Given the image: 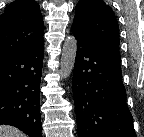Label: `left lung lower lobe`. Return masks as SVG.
<instances>
[{"label": "left lung lower lobe", "instance_id": "0a47b994", "mask_svg": "<svg viewBox=\"0 0 144 137\" xmlns=\"http://www.w3.org/2000/svg\"><path fill=\"white\" fill-rule=\"evenodd\" d=\"M77 53L73 95L79 137H136L126 104L121 58L73 31Z\"/></svg>", "mask_w": 144, "mask_h": 137}]
</instances>
